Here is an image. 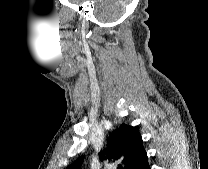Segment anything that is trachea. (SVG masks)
<instances>
[{
  "instance_id": "1",
  "label": "trachea",
  "mask_w": 208,
  "mask_h": 169,
  "mask_svg": "<svg viewBox=\"0 0 208 169\" xmlns=\"http://www.w3.org/2000/svg\"><path fill=\"white\" fill-rule=\"evenodd\" d=\"M118 169H122V166H119Z\"/></svg>"
}]
</instances>
